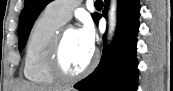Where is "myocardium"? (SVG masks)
Masks as SVG:
<instances>
[{
    "label": "myocardium",
    "mask_w": 173,
    "mask_h": 91,
    "mask_svg": "<svg viewBox=\"0 0 173 91\" xmlns=\"http://www.w3.org/2000/svg\"><path fill=\"white\" fill-rule=\"evenodd\" d=\"M75 30L72 26H62L52 39L47 51L45 66L48 73L56 80L61 82H72L87 76L96 66L98 52L93 51L88 65L78 73H71L62 64L61 52L65 36L68 31Z\"/></svg>",
    "instance_id": "f54148a6"
}]
</instances>
